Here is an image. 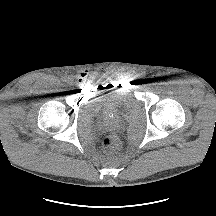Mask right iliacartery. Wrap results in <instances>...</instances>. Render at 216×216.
<instances>
[{"instance_id": "obj_1", "label": "right iliac artery", "mask_w": 216, "mask_h": 216, "mask_svg": "<svg viewBox=\"0 0 216 216\" xmlns=\"http://www.w3.org/2000/svg\"><path fill=\"white\" fill-rule=\"evenodd\" d=\"M61 80L64 81L66 84L69 82L65 77H62Z\"/></svg>"}]
</instances>
